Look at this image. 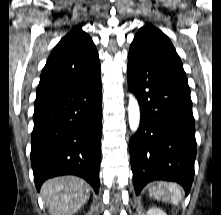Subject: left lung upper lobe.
<instances>
[{
  "label": "left lung upper lobe",
  "instance_id": "obj_1",
  "mask_svg": "<svg viewBox=\"0 0 221 215\" xmlns=\"http://www.w3.org/2000/svg\"><path fill=\"white\" fill-rule=\"evenodd\" d=\"M128 55L166 60L182 66L181 60L170 39L151 24H145L139 29L131 43Z\"/></svg>",
  "mask_w": 221,
  "mask_h": 215
}]
</instances>
